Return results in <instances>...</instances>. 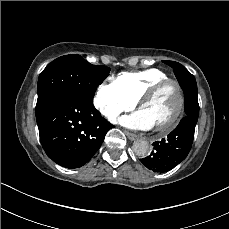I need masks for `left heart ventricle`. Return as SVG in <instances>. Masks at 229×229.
Masks as SVG:
<instances>
[{
  "mask_svg": "<svg viewBox=\"0 0 229 229\" xmlns=\"http://www.w3.org/2000/svg\"><path fill=\"white\" fill-rule=\"evenodd\" d=\"M174 83L167 84L154 98L152 102L144 105L140 112L149 120L153 128H164L165 121L172 114L171 111L174 107L172 100V90L174 89ZM183 106V105H182ZM183 109V107H182ZM182 111V110H181Z\"/></svg>",
  "mask_w": 229,
  "mask_h": 229,
  "instance_id": "1",
  "label": "left heart ventricle"
}]
</instances>
